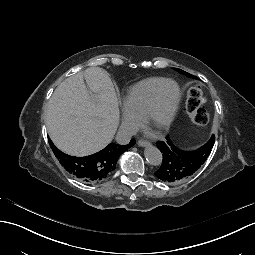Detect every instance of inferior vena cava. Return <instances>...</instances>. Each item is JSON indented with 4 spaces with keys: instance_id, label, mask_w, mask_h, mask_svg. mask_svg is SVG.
I'll list each match as a JSON object with an SVG mask.
<instances>
[{
    "instance_id": "602c4592",
    "label": "inferior vena cava",
    "mask_w": 255,
    "mask_h": 255,
    "mask_svg": "<svg viewBox=\"0 0 255 255\" xmlns=\"http://www.w3.org/2000/svg\"><path fill=\"white\" fill-rule=\"evenodd\" d=\"M137 133V129L131 125H121L116 136L119 144H128L131 137Z\"/></svg>"
}]
</instances>
